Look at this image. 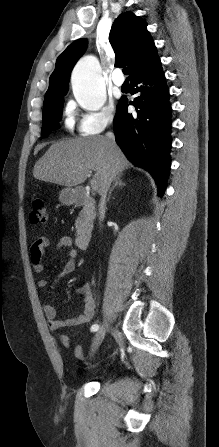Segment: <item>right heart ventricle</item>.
I'll return each instance as SVG.
<instances>
[{
    "label": "right heart ventricle",
    "instance_id": "1",
    "mask_svg": "<svg viewBox=\"0 0 219 447\" xmlns=\"http://www.w3.org/2000/svg\"><path fill=\"white\" fill-rule=\"evenodd\" d=\"M73 125H74L73 110L68 109L67 112H66L65 126L68 129H72Z\"/></svg>",
    "mask_w": 219,
    "mask_h": 447
}]
</instances>
